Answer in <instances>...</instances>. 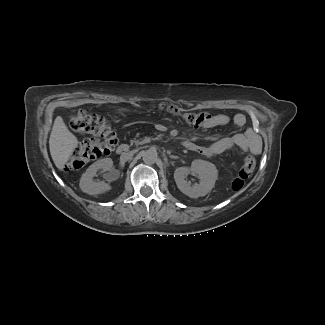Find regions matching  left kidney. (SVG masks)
I'll return each mask as SVG.
<instances>
[{"label": "left kidney", "mask_w": 325, "mask_h": 325, "mask_svg": "<svg viewBox=\"0 0 325 325\" xmlns=\"http://www.w3.org/2000/svg\"><path fill=\"white\" fill-rule=\"evenodd\" d=\"M195 173L199 176V184L191 186L185 178L189 173ZM218 178V170L211 162L197 159L191 164V167H179L174 172V179L178 189L190 198H198L209 193Z\"/></svg>", "instance_id": "1"}]
</instances>
